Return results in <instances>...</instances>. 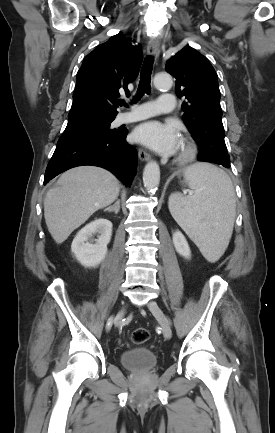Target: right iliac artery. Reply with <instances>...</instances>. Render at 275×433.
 <instances>
[{
	"mask_svg": "<svg viewBox=\"0 0 275 433\" xmlns=\"http://www.w3.org/2000/svg\"><path fill=\"white\" fill-rule=\"evenodd\" d=\"M112 322H113V317H110V318L108 319L107 326H106L108 330H109L110 327L112 326Z\"/></svg>",
	"mask_w": 275,
	"mask_h": 433,
	"instance_id": "right-iliac-artery-1",
	"label": "right iliac artery"
}]
</instances>
